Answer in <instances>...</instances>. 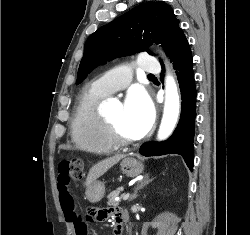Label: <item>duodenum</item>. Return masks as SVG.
<instances>
[{
	"label": "duodenum",
	"mask_w": 250,
	"mask_h": 235,
	"mask_svg": "<svg viewBox=\"0 0 250 235\" xmlns=\"http://www.w3.org/2000/svg\"><path fill=\"white\" fill-rule=\"evenodd\" d=\"M125 220H126V217H125V215H124V213H120L119 215H118V217H117V223L119 224V225H122L124 222H125ZM120 227L121 226H119V229H120Z\"/></svg>",
	"instance_id": "obj_1"
}]
</instances>
